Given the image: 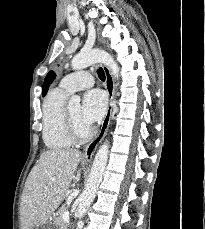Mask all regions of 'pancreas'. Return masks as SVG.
<instances>
[{
  "instance_id": "cf45deb5",
  "label": "pancreas",
  "mask_w": 205,
  "mask_h": 229,
  "mask_svg": "<svg viewBox=\"0 0 205 229\" xmlns=\"http://www.w3.org/2000/svg\"><path fill=\"white\" fill-rule=\"evenodd\" d=\"M68 211V207L66 205H63L55 214L54 216V222L58 226V229H67L68 228V223L63 220L62 214L64 212Z\"/></svg>"
}]
</instances>
